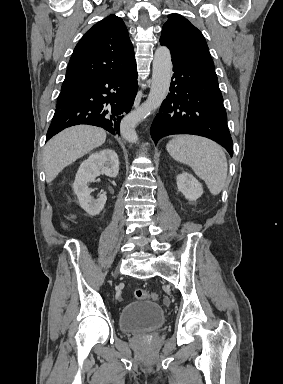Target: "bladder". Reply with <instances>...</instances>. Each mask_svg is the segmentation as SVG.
Instances as JSON below:
<instances>
[{
    "label": "bladder",
    "mask_w": 283,
    "mask_h": 384,
    "mask_svg": "<svg viewBox=\"0 0 283 384\" xmlns=\"http://www.w3.org/2000/svg\"><path fill=\"white\" fill-rule=\"evenodd\" d=\"M165 314L158 302L137 301L123 305L118 314V327L124 332L156 330L163 326Z\"/></svg>",
    "instance_id": "31cf9c89"
}]
</instances>
